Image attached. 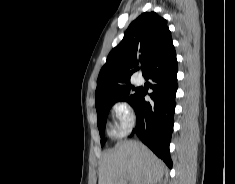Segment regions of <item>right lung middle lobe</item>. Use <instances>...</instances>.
I'll list each match as a JSON object with an SVG mask.
<instances>
[{
  "instance_id": "1",
  "label": "right lung middle lobe",
  "mask_w": 235,
  "mask_h": 184,
  "mask_svg": "<svg viewBox=\"0 0 235 184\" xmlns=\"http://www.w3.org/2000/svg\"><path fill=\"white\" fill-rule=\"evenodd\" d=\"M140 90L135 88L133 85H126L121 87H116L111 90V103L104 106L96 107L98 116V129L101 136V146L105 144L106 139L103 138L105 130V117L108 113L110 107L118 101H127L130 105L135 101L139 95Z\"/></svg>"
}]
</instances>
